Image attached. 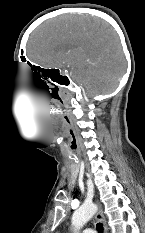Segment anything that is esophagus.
Returning a JSON list of instances; mask_svg holds the SVG:
<instances>
[{"instance_id":"1","label":"esophagus","mask_w":145,"mask_h":233,"mask_svg":"<svg viewBox=\"0 0 145 233\" xmlns=\"http://www.w3.org/2000/svg\"><path fill=\"white\" fill-rule=\"evenodd\" d=\"M96 219L103 224L104 233H108V228H107V225H106L105 217H104L102 208H101V206L99 204H98V210H97V213H96Z\"/></svg>"}]
</instances>
